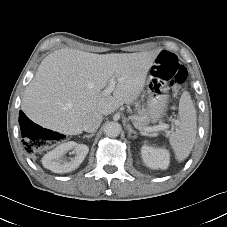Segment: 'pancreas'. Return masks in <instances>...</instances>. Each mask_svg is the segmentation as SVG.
<instances>
[{"mask_svg":"<svg viewBox=\"0 0 227 227\" xmlns=\"http://www.w3.org/2000/svg\"><path fill=\"white\" fill-rule=\"evenodd\" d=\"M138 114L134 116V122L137 127L144 128L147 125V109L138 107Z\"/></svg>","mask_w":227,"mask_h":227,"instance_id":"cf45deb5","label":"pancreas"}]
</instances>
